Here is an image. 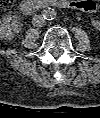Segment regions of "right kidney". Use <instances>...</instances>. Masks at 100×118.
<instances>
[{
	"mask_svg": "<svg viewBox=\"0 0 100 118\" xmlns=\"http://www.w3.org/2000/svg\"><path fill=\"white\" fill-rule=\"evenodd\" d=\"M19 22L11 17L6 18L0 25V34L3 38H11L18 32Z\"/></svg>",
	"mask_w": 100,
	"mask_h": 118,
	"instance_id": "right-kidney-1",
	"label": "right kidney"
}]
</instances>
